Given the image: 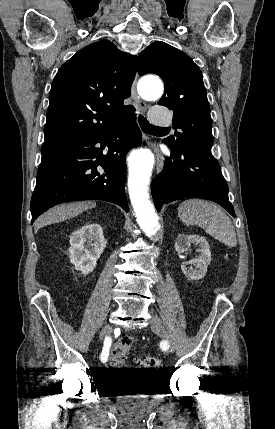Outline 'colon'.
<instances>
[{
  "label": "colon",
  "mask_w": 275,
  "mask_h": 429,
  "mask_svg": "<svg viewBox=\"0 0 275 429\" xmlns=\"http://www.w3.org/2000/svg\"><path fill=\"white\" fill-rule=\"evenodd\" d=\"M133 340L130 337L129 339H124L118 344H116L111 353V365L113 367H118L122 361L125 359L126 354L132 344ZM138 363L145 369H148L152 372L158 371L162 368V362L158 357L155 356H143L138 359Z\"/></svg>",
  "instance_id": "obj_1"
}]
</instances>
